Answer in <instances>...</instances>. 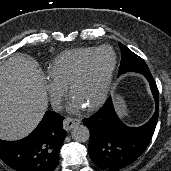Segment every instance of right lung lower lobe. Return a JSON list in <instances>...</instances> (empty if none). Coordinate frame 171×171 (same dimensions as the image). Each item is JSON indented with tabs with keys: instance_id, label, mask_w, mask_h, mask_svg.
<instances>
[{
	"instance_id": "right-lung-lower-lobe-1",
	"label": "right lung lower lobe",
	"mask_w": 171,
	"mask_h": 171,
	"mask_svg": "<svg viewBox=\"0 0 171 171\" xmlns=\"http://www.w3.org/2000/svg\"><path fill=\"white\" fill-rule=\"evenodd\" d=\"M64 117L47 111L37 128L18 141L0 140V158L16 171H53L66 137Z\"/></svg>"
}]
</instances>
